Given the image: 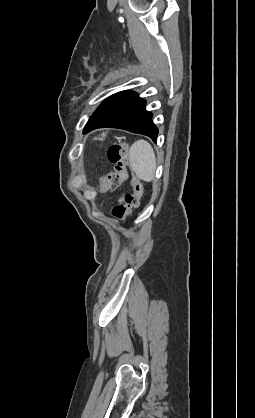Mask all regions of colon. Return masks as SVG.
Returning a JSON list of instances; mask_svg holds the SVG:
<instances>
[{
	"label": "colon",
	"instance_id": "colon-1",
	"mask_svg": "<svg viewBox=\"0 0 255 418\" xmlns=\"http://www.w3.org/2000/svg\"><path fill=\"white\" fill-rule=\"evenodd\" d=\"M108 159L114 167L111 174L102 181V190L110 191L120 186L129 177L128 146L126 144H114L108 149ZM133 194L127 195L124 204L118 205L113 210V215L123 218L140 204L143 195V185L137 176H131Z\"/></svg>",
	"mask_w": 255,
	"mask_h": 418
}]
</instances>
